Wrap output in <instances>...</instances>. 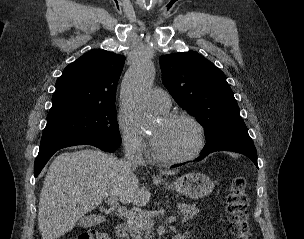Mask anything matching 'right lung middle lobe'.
Instances as JSON below:
<instances>
[{
	"mask_svg": "<svg viewBox=\"0 0 304 239\" xmlns=\"http://www.w3.org/2000/svg\"><path fill=\"white\" fill-rule=\"evenodd\" d=\"M63 137L96 138L119 147L121 137L115 105L79 107L49 113L42 140Z\"/></svg>",
	"mask_w": 304,
	"mask_h": 239,
	"instance_id": "1",
	"label": "right lung middle lobe"
}]
</instances>
